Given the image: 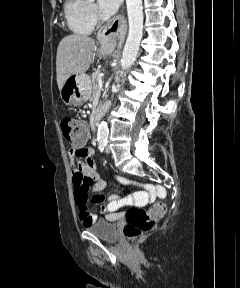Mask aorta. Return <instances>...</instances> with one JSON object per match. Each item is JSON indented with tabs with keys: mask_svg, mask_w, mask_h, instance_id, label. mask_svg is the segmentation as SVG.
<instances>
[{
	"mask_svg": "<svg viewBox=\"0 0 240 288\" xmlns=\"http://www.w3.org/2000/svg\"><path fill=\"white\" fill-rule=\"evenodd\" d=\"M126 6L129 22V33L121 59V66L123 70L129 68L134 63L143 36L142 0H126ZM108 132L107 122L102 121L98 127L97 139L103 142L106 141L108 138Z\"/></svg>",
	"mask_w": 240,
	"mask_h": 288,
	"instance_id": "1",
	"label": "aorta"
}]
</instances>
